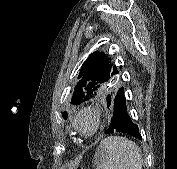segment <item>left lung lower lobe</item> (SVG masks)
I'll return each mask as SVG.
<instances>
[{"label":"left lung lower lobe","instance_id":"left-lung-lower-lobe-1","mask_svg":"<svg viewBox=\"0 0 177 169\" xmlns=\"http://www.w3.org/2000/svg\"><path fill=\"white\" fill-rule=\"evenodd\" d=\"M107 105L113 108V118L110 126L105 131V134L110 133H126L137 139H142L137 124H135L127 110L124 89L119 88L114 97L107 96Z\"/></svg>","mask_w":177,"mask_h":169}]
</instances>
